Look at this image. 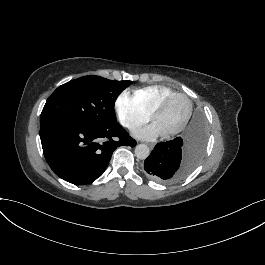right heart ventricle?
Wrapping results in <instances>:
<instances>
[{
    "label": "right heart ventricle",
    "mask_w": 265,
    "mask_h": 265,
    "mask_svg": "<svg viewBox=\"0 0 265 265\" xmlns=\"http://www.w3.org/2000/svg\"><path fill=\"white\" fill-rule=\"evenodd\" d=\"M170 88L161 85L149 86L143 89L135 90V98L140 100L145 107L152 112L155 104L164 96L172 93Z\"/></svg>",
    "instance_id": "obj_1"
}]
</instances>
